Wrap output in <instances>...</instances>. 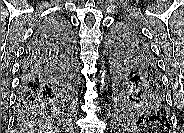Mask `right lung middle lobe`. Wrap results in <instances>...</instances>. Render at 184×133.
<instances>
[{"mask_svg":"<svg viewBox=\"0 0 184 133\" xmlns=\"http://www.w3.org/2000/svg\"><path fill=\"white\" fill-rule=\"evenodd\" d=\"M53 20H58L59 22H61L62 26L65 27L69 38H71L70 41L73 43L74 46V39L70 25L65 20L60 18H53ZM73 59L70 53L67 60L69 64L68 75L64 78L62 87L57 92L56 96L35 105H25L17 103V112L20 117L26 118L34 115H46L50 113H56L60 111H65L72 106L74 99L73 85L76 78Z\"/></svg>","mask_w":184,"mask_h":133,"instance_id":"right-lung-middle-lobe-1","label":"right lung middle lobe"}]
</instances>
